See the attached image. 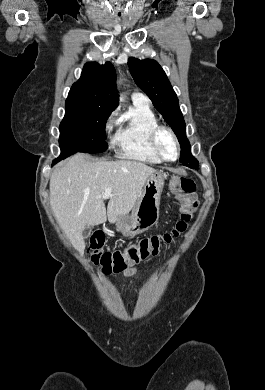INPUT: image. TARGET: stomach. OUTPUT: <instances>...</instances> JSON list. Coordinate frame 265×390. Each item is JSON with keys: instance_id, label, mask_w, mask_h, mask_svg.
<instances>
[{"instance_id": "0dacf381", "label": "stomach", "mask_w": 265, "mask_h": 390, "mask_svg": "<svg viewBox=\"0 0 265 390\" xmlns=\"http://www.w3.org/2000/svg\"><path fill=\"white\" fill-rule=\"evenodd\" d=\"M165 178L166 175L161 172L148 177L131 214L120 216L116 221L117 230L122 235L128 237L143 233L157 223Z\"/></svg>"}]
</instances>
